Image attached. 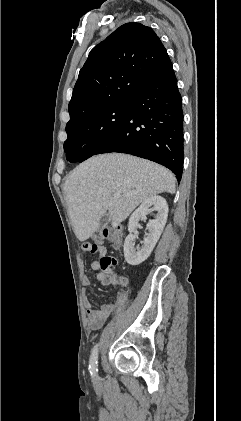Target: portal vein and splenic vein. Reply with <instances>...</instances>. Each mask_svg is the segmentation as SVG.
Wrapping results in <instances>:
<instances>
[{
    "instance_id": "obj_1",
    "label": "portal vein and splenic vein",
    "mask_w": 241,
    "mask_h": 421,
    "mask_svg": "<svg viewBox=\"0 0 241 421\" xmlns=\"http://www.w3.org/2000/svg\"><path fill=\"white\" fill-rule=\"evenodd\" d=\"M120 196V193H114V197L118 198Z\"/></svg>"
}]
</instances>
